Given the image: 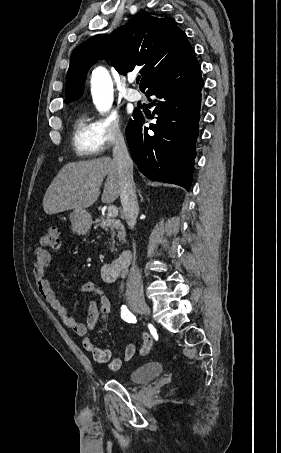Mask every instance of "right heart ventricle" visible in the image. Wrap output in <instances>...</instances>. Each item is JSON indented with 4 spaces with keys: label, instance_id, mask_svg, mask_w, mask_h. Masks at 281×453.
<instances>
[{
    "label": "right heart ventricle",
    "instance_id": "right-heart-ventricle-1",
    "mask_svg": "<svg viewBox=\"0 0 281 453\" xmlns=\"http://www.w3.org/2000/svg\"><path fill=\"white\" fill-rule=\"evenodd\" d=\"M72 141L76 154L82 158H94L103 150L96 121H93L85 109L80 110L76 116Z\"/></svg>",
    "mask_w": 281,
    "mask_h": 453
}]
</instances>
